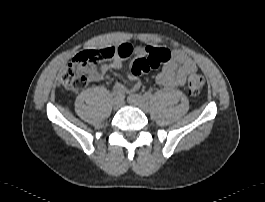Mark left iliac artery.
<instances>
[{"label": "left iliac artery", "mask_w": 265, "mask_h": 202, "mask_svg": "<svg viewBox=\"0 0 265 202\" xmlns=\"http://www.w3.org/2000/svg\"><path fill=\"white\" fill-rule=\"evenodd\" d=\"M144 97H145L146 99H151V98H152V94H151L150 92H145V93H144Z\"/></svg>", "instance_id": "left-iliac-artery-1"}]
</instances>
